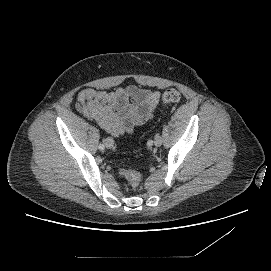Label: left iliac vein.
<instances>
[{"instance_id": "obj_1", "label": "left iliac vein", "mask_w": 271, "mask_h": 271, "mask_svg": "<svg viewBox=\"0 0 271 271\" xmlns=\"http://www.w3.org/2000/svg\"><path fill=\"white\" fill-rule=\"evenodd\" d=\"M154 144H155V146H161V144H162V137L161 136H157L156 138H155V142H154Z\"/></svg>"}]
</instances>
